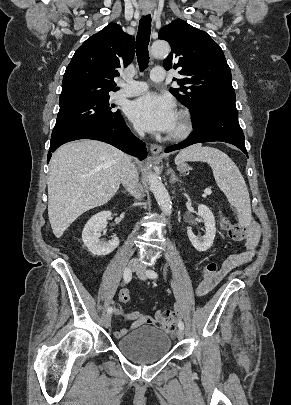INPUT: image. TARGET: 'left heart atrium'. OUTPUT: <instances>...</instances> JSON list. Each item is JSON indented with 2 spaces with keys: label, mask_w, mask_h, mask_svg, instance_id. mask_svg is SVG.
I'll return each mask as SVG.
<instances>
[{
  "label": "left heart atrium",
  "mask_w": 291,
  "mask_h": 405,
  "mask_svg": "<svg viewBox=\"0 0 291 405\" xmlns=\"http://www.w3.org/2000/svg\"><path fill=\"white\" fill-rule=\"evenodd\" d=\"M127 115L149 132H170L177 118L173 101L156 93H146L132 101L127 108Z\"/></svg>",
  "instance_id": "1"
}]
</instances>
